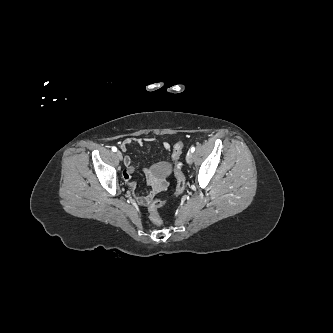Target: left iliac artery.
I'll use <instances>...</instances> for the list:
<instances>
[{
  "instance_id": "obj_1",
  "label": "left iliac artery",
  "mask_w": 333,
  "mask_h": 333,
  "mask_svg": "<svg viewBox=\"0 0 333 333\" xmlns=\"http://www.w3.org/2000/svg\"><path fill=\"white\" fill-rule=\"evenodd\" d=\"M190 150H191V152L193 153V152L195 151V147L192 146Z\"/></svg>"
}]
</instances>
